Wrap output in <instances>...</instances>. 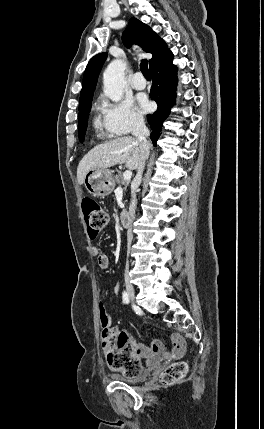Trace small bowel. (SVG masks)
Segmentation results:
<instances>
[{"label": "small bowel", "instance_id": "obj_1", "mask_svg": "<svg viewBox=\"0 0 264 429\" xmlns=\"http://www.w3.org/2000/svg\"><path fill=\"white\" fill-rule=\"evenodd\" d=\"M92 253L97 258L98 264L102 269L108 268L109 258L99 247H94ZM114 292H118V286L114 288ZM170 339L173 343V348L169 352L165 350L164 345L159 340L153 341L150 345L137 343L133 338H129V341L133 354L139 362L142 359L147 365H153L164 359L180 358L184 355L186 350L184 339L178 334H173Z\"/></svg>", "mask_w": 264, "mask_h": 429}]
</instances>
